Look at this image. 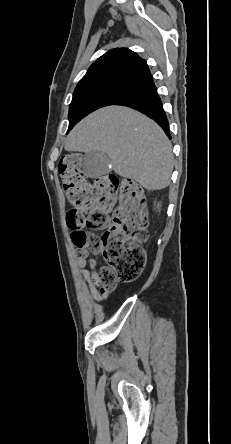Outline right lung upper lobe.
<instances>
[{
	"instance_id": "obj_1",
	"label": "right lung upper lobe",
	"mask_w": 231,
	"mask_h": 444,
	"mask_svg": "<svg viewBox=\"0 0 231 444\" xmlns=\"http://www.w3.org/2000/svg\"><path fill=\"white\" fill-rule=\"evenodd\" d=\"M152 81L146 61L127 48L108 51L93 63L76 89L115 84L131 91Z\"/></svg>"
}]
</instances>
